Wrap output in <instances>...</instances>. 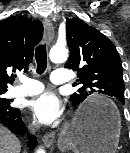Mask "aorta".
<instances>
[{
	"instance_id": "aorta-1",
	"label": "aorta",
	"mask_w": 130,
	"mask_h": 153,
	"mask_svg": "<svg viewBox=\"0 0 130 153\" xmlns=\"http://www.w3.org/2000/svg\"><path fill=\"white\" fill-rule=\"evenodd\" d=\"M50 60L54 63L65 62L68 58V50L65 47L54 46L50 50ZM38 153H45L43 149H39Z\"/></svg>"
}]
</instances>
